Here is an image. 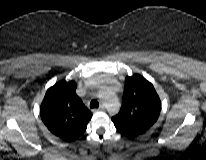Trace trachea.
I'll use <instances>...</instances> for the list:
<instances>
[{"mask_svg":"<svg viewBox=\"0 0 206 160\" xmlns=\"http://www.w3.org/2000/svg\"><path fill=\"white\" fill-rule=\"evenodd\" d=\"M98 106H99V102L97 100L94 99L90 102L91 108H98Z\"/></svg>","mask_w":206,"mask_h":160,"instance_id":"trachea-1","label":"trachea"}]
</instances>
